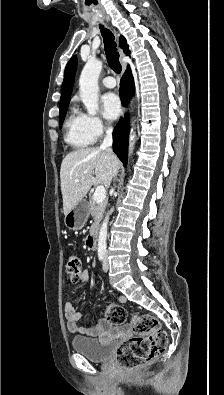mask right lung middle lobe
<instances>
[{"label":"right lung middle lobe","instance_id":"obj_1","mask_svg":"<svg viewBox=\"0 0 224 395\" xmlns=\"http://www.w3.org/2000/svg\"><path fill=\"white\" fill-rule=\"evenodd\" d=\"M67 108H68V107H66V108L60 110V114H59V126H60V128H61L62 123H63V120H64V118H65Z\"/></svg>","mask_w":224,"mask_h":395}]
</instances>
